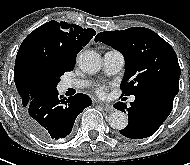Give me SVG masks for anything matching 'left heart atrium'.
Listing matches in <instances>:
<instances>
[{
	"mask_svg": "<svg viewBox=\"0 0 190 165\" xmlns=\"http://www.w3.org/2000/svg\"><path fill=\"white\" fill-rule=\"evenodd\" d=\"M96 92H97L98 95L104 96L105 93H106V87L100 85V86H98V87L96 88Z\"/></svg>",
	"mask_w": 190,
	"mask_h": 165,
	"instance_id": "left-heart-atrium-1",
	"label": "left heart atrium"
}]
</instances>
